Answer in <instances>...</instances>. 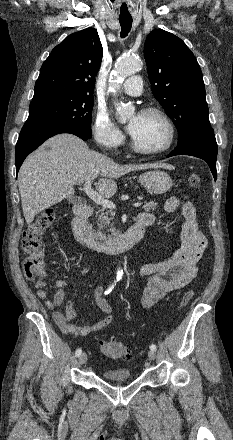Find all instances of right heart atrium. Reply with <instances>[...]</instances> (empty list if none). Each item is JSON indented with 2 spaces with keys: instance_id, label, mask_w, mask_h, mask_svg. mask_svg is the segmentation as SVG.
Instances as JSON below:
<instances>
[{
  "instance_id": "d8ad5b80",
  "label": "right heart atrium",
  "mask_w": 233,
  "mask_h": 440,
  "mask_svg": "<svg viewBox=\"0 0 233 440\" xmlns=\"http://www.w3.org/2000/svg\"><path fill=\"white\" fill-rule=\"evenodd\" d=\"M92 132L96 142L108 150L118 149L124 142V135L104 110H97L92 121Z\"/></svg>"
}]
</instances>
